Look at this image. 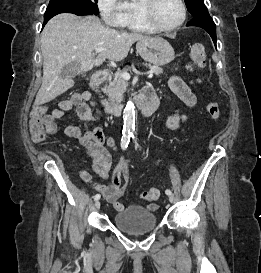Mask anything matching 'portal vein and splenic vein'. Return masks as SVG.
Returning <instances> with one entry per match:
<instances>
[{"label":"portal vein and splenic vein","mask_w":261,"mask_h":273,"mask_svg":"<svg viewBox=\"0 0 261 273\" xmlns=\"http://www.w3.org/2000/svg\"><path fill=\"white\" fill-rule=\"evenodd\" d=\"M103 50H104V48H103V47H100V48H97V49L95 50V52H96V53H101ZM146 74H147V77H148V78H152V77H153V72H151V71H150V72H147ZM121 76H122V78H123L124 80H129V79H130V74H129L128 72L122 73Z\"/></svg>","instance_id":"obj_1"}]
</instances>
